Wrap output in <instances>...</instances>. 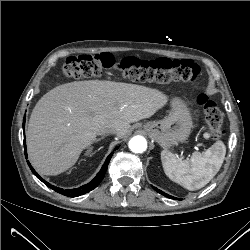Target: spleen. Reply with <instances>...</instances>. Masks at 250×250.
I'll use <instances>...</instances> for the list:
<instances>
[{
  "label": "spleen",
  "instance_id": "3e777b00",
  "mask_svg": "<svg viewBox=\"0 0 250 250\" xmlns=\"http://www.w3.org/2000/svg\"><path fill=\"white\" fill-rule=\"evenodd\" d=\"M226 154L222 141H217L202 153H193L191 159L182 160L163 150L161 161L165 174L184 188L194 191L204 187L220 170Z\"/></svg>",
  "mask_w": 250,
  "mask_h": 250
}]
</instances>
